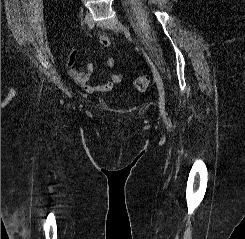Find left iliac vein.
<instances>
[{
	"instance_id": "4c4485c4",
	"label": "left iliac vein",
	"mask_w": 245,
	"mask_h": 239,
	"mask_svg": "<svg viewBox=\"0 0 245 239\" xmlns=\"http://www.w3.org/2000/svg\"><path fill=\"white\" fill-rule=\"evenodd\" d=\"M108 27L115 31V32H119V33H125L126 36L128 38H130V33L125 29V27L122 25V23L117 20V19H114L109 25ZM149 62V61H148ZM150 63V62H149ZM150 66H151V69H152V72H153V77H154V80L156 81V84H157V88H158V91H159V108H160V111L162 113L165 112V98H164V88H163V82H162V79L159 75V72L158 70L155 68L154 65H152L150 63Z\"/></svg>"
}]
</instances>
